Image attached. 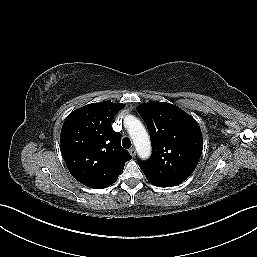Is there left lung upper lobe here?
Returning <instances> with one entry per match:
<instances>
[{
	"label": "left lung upper lobe",
	"mask_w": 257,
	"mask_h": 257,
	"mask_svg": "<svg viewBox=\"0 0 257 257\" xmlns=\"http://www.w3.org/2000/svg\"><path fill=\"white\" fill-rule=\"evenodd\" d=\"M151 138L152 156L138 161L148 181L186 180L202 154L203 138L195 119L179 107L149 102L137 107Z\"/></svg>",
	"instance_id": "1"
}]
</instances>
